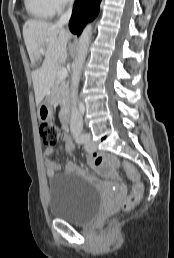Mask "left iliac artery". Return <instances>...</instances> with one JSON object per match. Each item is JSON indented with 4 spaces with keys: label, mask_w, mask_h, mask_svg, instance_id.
<instances>
[{
    "label": "left iliac artery",
    "mask_w": 174,
    "mask_h": 258,
    "mask_svg": "<svg viewBox=\"0 0 174 258\" xmlns=\"http://www.w3.org/2000/svg\"><path fill=\"white\" fill-rule=\"evenodd\" d=\"M82 131H83L82 126L73 130L74 139L78 144H84L87 140V135L84 134Z\"/></svg>",
    "instance_id": "left-iliac-artery-1"
}]
</instances>
